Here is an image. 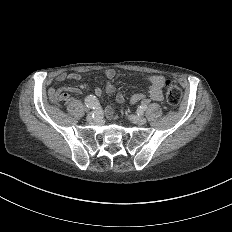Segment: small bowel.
I'll return each instance as SVG.
<instances>
[{
    "instance_id": "obj_1",
    "label": "small bowel",
    "mask_w": 232,
    "mask_h": 232,
    "mask_svg": "<svg viewBox=\"0 0 232 232\" xmlns=\"http://www.w3.org/2000/svg\"><path fill=\"white\" fill-rule=\"evenodd\" d=\"M102 76L110 81L115 78L116 71L114 69H104L102 70ZM80 75L75 72L71 73H61L57 76V80L59 82L67 81V80H78ZM145 81L148 82L151 86L149 88V96L155 101H163L164 95L162 93V86L165 84V78L163 75L158 73H149L145 77ZM49 94L55 93H78L80 92V88L76 86H63L60 88H56L54 86H50L47 89ZM94 92L97 96H101L102 90L99 87H95ZM144 98L143 92H135L131 96V104H136L140 100ZM117 99L120 102H123L125 99V93L123 91L118 92ZM105 111L109 116H113V106L111 104H106Z\"/></svg>"
}]
</instances>
